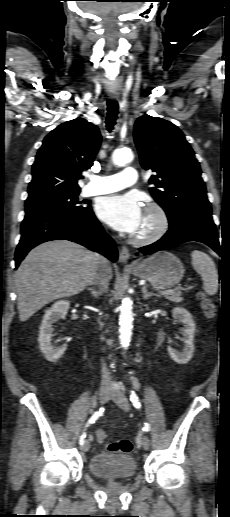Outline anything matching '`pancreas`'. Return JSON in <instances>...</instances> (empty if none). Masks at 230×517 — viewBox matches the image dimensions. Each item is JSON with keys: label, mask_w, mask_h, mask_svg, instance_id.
Instances as JSON below:
<instances>
[{"label": "pancreas", "mask_w": 230, "mask_h": 517, "mask_svg": "<svg viewBox=\"0 0 230 517\" xmlns=\"http://www.w3.org/2000/svg\"><path fill=\"white\" fill-rule=\"evenodd\" d=\"M164 297L166 299H168L169 301L175 302V303L183 301L182 293L180 291L164 294Z\"/></svg>", "instance_id": "1"}]
</instances>
